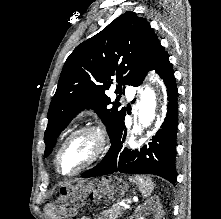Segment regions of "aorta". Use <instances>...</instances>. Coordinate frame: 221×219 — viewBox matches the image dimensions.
I'll return each instance as SVG.
<instances>
[{"instance_id":"obj_1","label":"aorta","mask_w":221,"mask_h":219,"mask_svg":"<svg viewBox=\"0 0 221 219\" xmlns=\"http://www.w3.org/2000/svg\"><path fill=\"white\" fill-rule=\"evenodd\" d=\"M163 94V89L157 83L146 85L142 91L137 112L138 123L135 126L138 133L149 127L155 120Z\"/></svg>"}]
</instances>
